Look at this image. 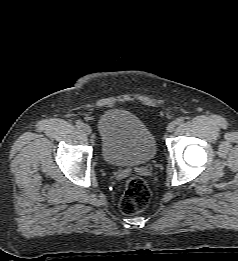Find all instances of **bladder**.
Returning <instances> with one entry per match:
<instances>
[{
	"instance_id": "31cf9c89",
	"label": "bladder",
	"mask_w": 238,
	"mask_h": 261,
	"mask_svg": "<svg viewBox=\"0 0 238 261\" xmlns=\"http://www.w3.org/2000/svg\"><path fill=\"white\" fill-rule=\"evenodd\" d=\"M101 154L112 166H135L152 160L157 151L156 140L135 114L111 109L98 120Z\"/></svg>"
}]
</instances>
